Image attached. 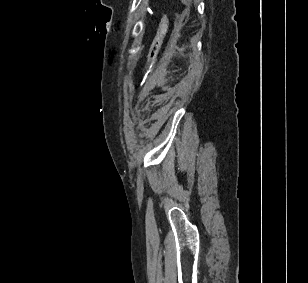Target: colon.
Segmentation results:
<instances>
[{
    "instance_id": "colon-1",
    "label": "colon",
    "mask_w": 308,
    "mask_h": 283,
    "mask_svg": "<svg viewBox=\"0 0 308 283\" xmlns=\"http://www.w3.org/2000/svg\"><path fill=\"white\" fill-rule=\"evenodd\" d=\"M168 24H169V19L166 14H164L157 27L156 34L152 40V43L150 45L148 55H147V60H146V66H145V71L147 72L155 63L156 57L159 53V50L161 48V45L163 43V40L165 38V35L167 33L168 29Z\"/></svg>"
}]
</instances>
